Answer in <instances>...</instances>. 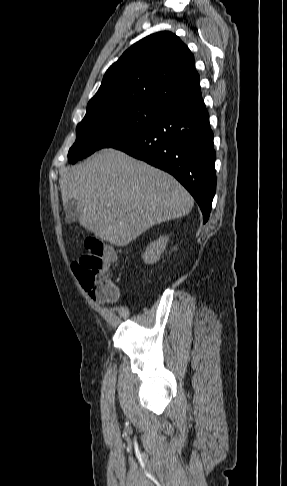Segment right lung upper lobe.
I'll return each instance as SVG.
<instances>
[{"mask_svg":"<svg viewBox=\"0 0 287 486\" xmlns=\"http://www.w3.org/2000/svg\"><path fill=\"white\" fill-rule=\"evenodd\" d=\"M200 94L193 54L178 36L163 31L138 41L110 66L87 109L134 101L169 109Z\"/></svg>","mask_w":287,"mask_h":486,"instance_id":"1","label":"right lung upper lobe"}]
</instances>
